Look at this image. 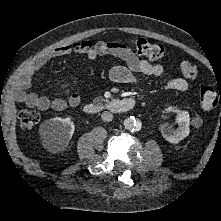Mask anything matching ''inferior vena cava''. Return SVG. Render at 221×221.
Masks as SVG:
<instances>
[{
    "instance_id": "602c4592",
    "label": "inferior vena cava",
    "mask_w": 221,
    "mask_h": 221,
    "mask_svg": "<svg viewBox=\"0 0 221 221\" xmlns=\"http://www.w3.org/2000/svg\"><path fill=\"white\" fill-rule=\"evenodd\" d=\"M101 118L103 121L105 122H110L112 121L113 119V114L109 111H104L102 114H101Z\"/></svg>"
}]
</instances>
